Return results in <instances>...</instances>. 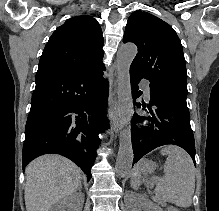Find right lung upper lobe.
<instances>
[{"mask_svg": "<svg viewBox=\"0 0 219 211\" xmlns=\"http://www.w3.org/2000/svg\"><path fill=\"white\" fill-rule=\"evenodd\" d=\"M103 44L101 27L93 17H73L50 37L36 74L92 70L103 64Z\"/></svg>", "mask_w": 219, "mask_h": 211, "instance_id": "cb5924a9", "label": "right lung upper lobe"}]
</instances>
